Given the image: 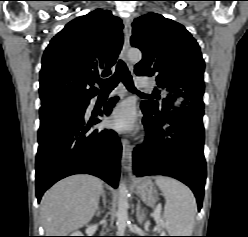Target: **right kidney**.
I'll use <instances>...</instances> for the list:
<instances>
[{
	"label": "right kidney",
	"instance_id": "obj_1",
	"mask_svg": "<svg viewBox=\"0 0 248 237\" xmlns=\"http://www.w3.org/2000/svg\"><path fill=\"white\" fill-rule=\"evenodd\" d=\"M71 236H82L81 232H74V234H71Z\"/></svg>",
	"mask_w": 248,
	"mask_h": 237
}]
</instances>
